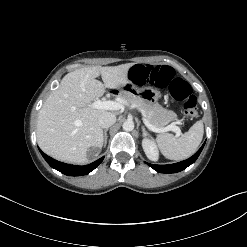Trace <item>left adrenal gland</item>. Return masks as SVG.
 Returning a JSON list of instances; mask_svg holds the SVG:
<instances>
[{
	"mask_svg": "<svg viewBox=\"0 0 247 247\" xmlns=\"http://www.w3.org/2000/svg\"><path fill=\"white\" fill-rule=\"evenodd\" d=\"M141 128H142L143 136L149 135V133L147 132L144 126H142Z\"/></svg>",
	"mask_w": 247,
	"mask_h": 247,
	"instance_id": "left-adrenal-gland-1",
	"label": "left adrenal gland"
}]
</instances>
